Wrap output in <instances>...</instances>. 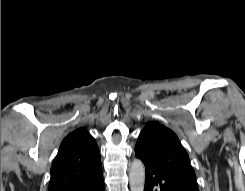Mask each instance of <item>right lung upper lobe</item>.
Returning a JSON list of instances; mask_svg holds the SVG:
<instances>
[{
	"label": "right lung upper lobe",
	"mask_w": 245,
	"mask_h": 191,
	"mask_svg": "<svg viewBox=\"0 0 245 191\" xmlns=\"http://www.w3.org/2000/svg\"><path fill=\"white\" fill-rule=\"evenodd\" d=\"M102 171L100 152L94 138L79 128L62 141L51 166L48 191L66 187Z\"/></svg>",
	"instance_id": "obj_1"
}]
</instances>
